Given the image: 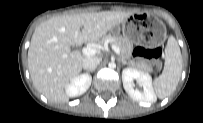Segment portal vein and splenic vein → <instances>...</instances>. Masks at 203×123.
Listing matches in <instances>:
<instances>
[{"label": "portal vein and splenic vein", "instance_id": "portal-vein-and-splenic-vein-1", "mask_svg": "<svg viewBox=\"0 0 203 123\" xmlns=\"http://www.w3.org/2000/svg\"><path fill=\"white\" fill-rule=\"evenodd\" d=\"M111 48H112V50L115 52V53H117V54H119L120 53V49L116 46V45H111ZM82 52H83V54L85 55V56H93V55H95L96 53H97V50L95 49V48H92V47H89V46H87V47H84L83 49H82Z\"/></svg>", "mask_w": 203, "mask_h": 123}]
</instances>
